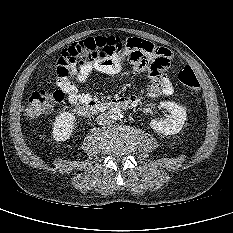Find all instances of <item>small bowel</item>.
Wrapping results in <instances>:
<instances>
[{
    "label": "small bowel",
    "mask_w": 233,
    "mask_h": 233,
    "mask_svg": "<svg viewBox=\"0 0 233 233\" xmlns=\"http://www.w3.org/2000/svg\"><path fill=\"white\" fill-rule=\"evenodd\" d=\"M171 59L172 52L169 49L155 47L148 41L130 38L125 43V66L131 72L150 75L151 85L148 94L151 97L169 96L173 93V85L166 74ZM122 68L123 61L118 57L108 63L85 64L78 71L70 70L68 74L57 73V86L75 109L79 104L91 100L90 94L80 91L77 84H85L93 72L111 79L120 73Z\"/></svg>",
    "instance_id": "small-bowel-1"
}]
</instances>
